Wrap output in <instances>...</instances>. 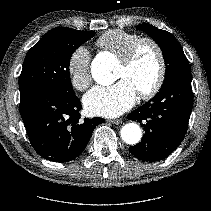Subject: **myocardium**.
<instances>
[{"label":"myocardium","mask_w":211,"mask_h":211,"mask_svg":"<svg viewBox=\"0 0 211 211\" xmlns=\"http://www.w3.org/2000/svg\"><path fill=\"white\" fill-rule=\"evenodd\" d=\"M146 44L152 46L157 54L158 73L153 85L148 90L138 93L139 98L142 100L152 99L158 94L164 84L166 77V60L161 45L151 37H141L134 42L125 55L120 58V65L125 69L129 68L134 63L141 47Z\"/></svg>","instance_id":"obj_1"}]
</instances>
